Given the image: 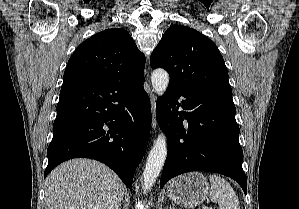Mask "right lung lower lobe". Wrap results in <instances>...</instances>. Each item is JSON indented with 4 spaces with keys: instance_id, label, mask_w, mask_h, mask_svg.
Returning <instances> with one entry per match:
<instances>
[{
    "instance_id": "right-lung-lower-lobe-1",
    "label": "right lung lower lobe",
    "mask_w": 299,
    "mask_h": 209,
    "mask_svg": "<svg viewBox=\"0 0 299 209\" xmlns=\"http://www.w3.org/2000/svg\"><path fill=\"white\" fill-rule=\"evenodd\" d=\"M143 82L62 87L44 178L60 163L85 157L109 166L131 189L150 134L151 107Z\"/></svg>"
}]
</instances>
